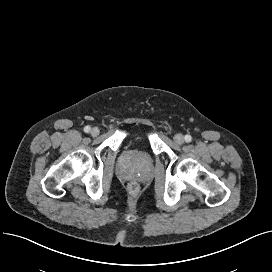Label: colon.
Wrapping results in <instances>:
<instances>
[{"mask_svg":"<svg viewBox=\"0 0 272 272\" xmlns=\"http://www.w3.org/2000/svg\"><path fill=\"white\" fill-rule=\"evenodd\" d=\"M129 189L132 193H136L139 190V186L137 183H131Z\"/></svg>","mask_w":272,"mask_h":272,"instance_id":"5ec220e1","label":"colon"}]
</instances>
